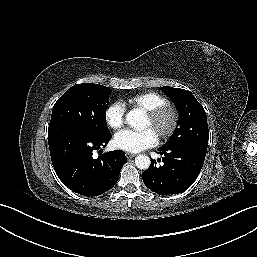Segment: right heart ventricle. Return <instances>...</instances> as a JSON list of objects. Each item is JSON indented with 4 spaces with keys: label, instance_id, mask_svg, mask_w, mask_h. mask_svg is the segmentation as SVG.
<instances>
[{
    "label": "right heart ventricle",
    "instance_id": "obj_1",
    "mask_svg": "<svg viewBox=\"0 0 257 257\" xmlns=\"http://www.w3.org/2000/svg\"><path fill=\"white\" fill-rule=\"evenodd\" d=\"M128 104L147 112L168 102L167 98L156 91H147L127 99Z\"/></svg>",
    "mask_w": 257,
    "mask_h": 257
}]
</instances>
